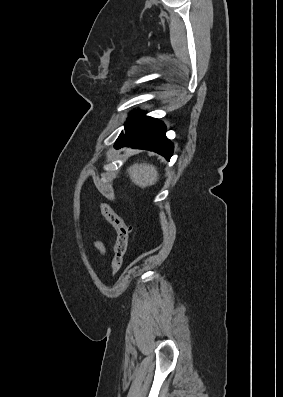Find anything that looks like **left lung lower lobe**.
<instances>
[{
	"label": "left lung lower lobe",
	"instance_id": "obj_1",
	"mask_svg": "<svg viewBox=\"0 0 283 397\" xmlns=\"http://www.w3.org/2000/svg\"><path fill=\"white\" fill-rule=\"evenodd\" d=\"M166 127L162 121L143 115L115 142V148L129 146L157 152L170 159L173 144L167 139Z\"/></svg>",
	"mask_w": 283,
	"mask_h": 397
}]
</instances>
